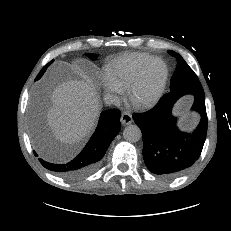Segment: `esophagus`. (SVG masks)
I'll use <instances>...</instances> for the list:
<instances>
[{"label": "esophagus", "mask_w": 231, "mask_h": 231, "mask_svg": "<svg viewBox=\"0 0 231 231\" xmlns=\"http://www.w3.org/2000/svg\"><path fill=\"white\" fill-rule=\"evenodd\" d=\"M122 125L126 126L132 123V115L129 112L124 111L121 115L120 119Z\"/></svg>", "instance_id": "obj_1"}]
</instances>
